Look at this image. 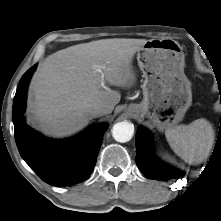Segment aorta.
<instances>
[{"label":"aorta","instance_id":"1","mask_svg":"<svg viewBox=\"0 0 221 221\" xmlns=\"http://www.w3.org/2000/svg\"><path fill=\"white\" fill-rule=\"evenodd\" d=\"M134 133V127L127 121L116 123L112 128L113 138L120 143H125L131 140Z\"/></svg>","mask_w":221,"mask_h":221}]
</instances>
